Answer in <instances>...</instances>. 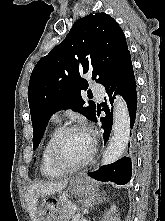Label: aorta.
Wrapping results in <instances>:
<instances>
[{
    "mask_svg": "<svg viewBox=\"0 0 165 221\" xmlns=\"http://www.w3.org/2000/svg\"><path fill=\"white\" fill-rule=\"evenodd\" d=\"M130 138V116L126 102L122 97H116L114 105L113 134L103 153L102 163L111 164L124 153ZM79 221H86L80 217Z\"/></svg>",
    "mask_w": 165,
    "mask_h": 221,
    "instance_id": "aorta-1",
    "label": "aorta"
}]
</instances>
